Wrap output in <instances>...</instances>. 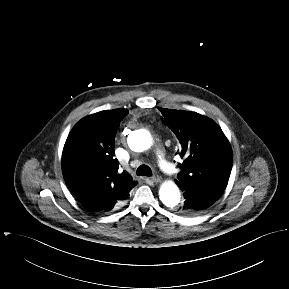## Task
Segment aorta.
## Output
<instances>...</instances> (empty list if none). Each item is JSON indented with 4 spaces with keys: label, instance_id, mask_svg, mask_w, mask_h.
Returning <instances> with one entry per match:
<instances>
[{
    "label": "aorta",
    "instance_id": "obj_1",
    "mask_svg": "<svg viewBox=\"0 0 289 289\" xmlns=\"http://www.w3.org/2000/svg\"><path fill=\"white\" fill-rule=\"evenodd\" d=\"M128 145L135 152H143L151 146V135L146 130L132 133L128 137ZM180 192L178 186L172 182H164L159 190L161 202L170 208L177 206L180 202Z\"/></svg>",
    "mask_w": 289,
    "mask_h": 289
}]
</instances>
